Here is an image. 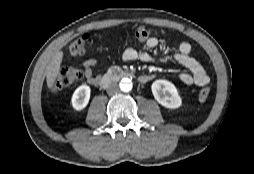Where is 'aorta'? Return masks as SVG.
Instances as JSON below:
<instances>
[{
  "mask_svg": "<svg viewBox=\"0 0 254 174\" xmlns=\"http://www.w3.org/2000/svg\"><path fill=\"white\" fill-rule=\"evenodd\" d=\"M120 90L129 92L132 89V82L129 78H123L119 83Z\"/></svg>",
  "mask_w": 254,
  "mask_h": 174,
  "instance_id": "obj_1",
  "label": "aorta"
}]
</instances>
